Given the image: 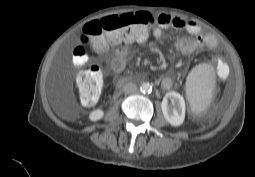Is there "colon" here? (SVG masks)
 <instances>
[{
  "instance_id": "1",
  "label": "colon",
  "mask_w": 255,
  "mask_h": 177,
  "mask_svg": "<svg viewBox=\"0 0 255 177\" xmlns=\"http://www.w3.org/2000/svg\"><path fill=\"white\" fill-rule=\"evenodd\" d=\"M162 16L148 12L127 13L108 16L88 22L80 37V44L73 50V62L80 68L76 86L80 99L85 105L95 104L102 90V74L99 68L88 64L86 45L93 43L97 48L131 43L144 37L149 29L164 27Z\"/></svg>"
}]
</instances>
